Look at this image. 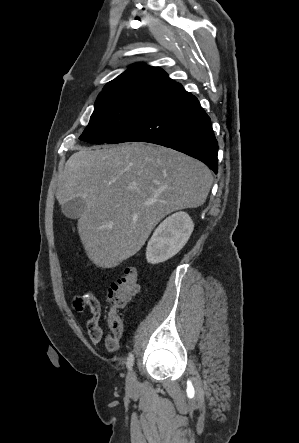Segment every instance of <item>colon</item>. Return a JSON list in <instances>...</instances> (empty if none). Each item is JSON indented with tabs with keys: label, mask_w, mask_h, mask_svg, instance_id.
<instances>
[{
	"label": "colon",
	"mask_w": 299,
	"mask_h": 443,
	"mask_svg": "<svg viewBox=\"0 0 299 443\" xmlns=\"http://www.w3.org/2000/svg\"><path fill=\"white\" fill-rule=\"evenodd\" d=\"M138 290V271L134 266L127 267L122 276L109 287L106 299L110 309L106 313L105 323L110 335L119 336L122 332L123 320L117 310L124 307Z\"/></svg>",
	"instance_id": "5ec220e1"
}]
</instances>
